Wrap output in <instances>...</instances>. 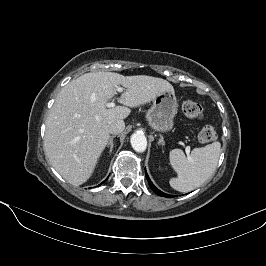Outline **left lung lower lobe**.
<instances>
[{
  "mask_svg": "<svg viewBox=\"0 0 266 266\" xmlns=\"http://www.w3.org/2000/svg\"><path fill=\"white\" fill-rule=\"evenodd\" d=\"M145 174H146V178H147V181H148V184H149L150 188H151L156 194H158L159 196H162V197H173L172 195L166 194V193L160 191L159 189H157V188L155 187V185L151 182V180H150V178H149V176H148V174H147V172H146V169H145Z\"/></svg>",
  "mask_w": 266,
  "mask_h": 266,
  "instance_id": "left-lung-lower-lobe-1",
  "label": "left lung lower lobe"
}]
</instances>
